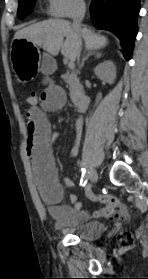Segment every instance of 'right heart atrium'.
<instances>
[{
	"label": "right heart atrium",
	"mask_w": 148,
	"mask_h": 279,
	"mask_svg": "<svg viewBox=\"0 0 148 279\" xmlns=\"http://www.w3.org/2000/svg\"><path fill=\"white\" fill-rule=\"evenodd\" d=\"M48 13L57 18L79 16L85 9L83 0H47Z\"/></svg>",
	"instance_id": "right-heart-atrium-1"
}]
</instances>
